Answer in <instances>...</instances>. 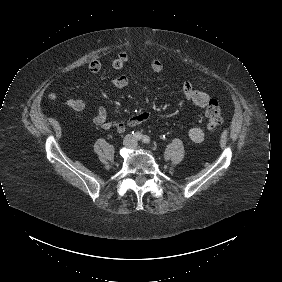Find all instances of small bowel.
<instances>
[{
    "label": "small bowel",
    "instance_id": "1",
    "mask_svg": "<svg viewBox=\"0 0 282 282\" xmlns=\"http://www.w3.org/2000/svg\"><path fill=\"white\" fill-rule=\"evenodd\" d=\"M129 60L128 53L122 51L118 56L112 61L111 67L114 71H120L126 65ZM102 64L98 59H93L88 64V70L92 73H97L101 70ZM150 68L153 72L159 73L163 70V63L158 59H153L150 62ZM129 83V78L126 75H119L113 81L112 85L118 88H123ZM182 92L185 99L201 108H204L209 103L210 97L207 93L197 90L194 88L193 84L184 80L181 83ZM58 97L57 92L50 91L48 93V98L55 100ZM66 105L74 111H83L86 108V103L84 100L79 98H69L66 100ZM150 113L148 111H142L137 114L130 116L124 121H109L108 111L105 106L100 105L97 107L95 115L92 117V122L96 126L105 130H114L118 133L124 132L127 128L137 126L147 122L150 119ZM188 137L191 141L195 143H201L204 140V132L201 128L191 127L188 130Z\"/></svg>",
    "mask_w": 282,
    "mask_h": 282
}]
</instances>
